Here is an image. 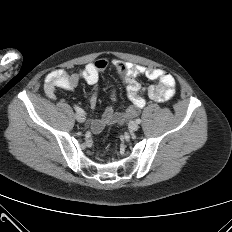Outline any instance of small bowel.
I'll return each instance as SVG.
<instances>
[{
  "label": "small bowel",
  "mask_w": 232,
  "mask_h": 232,
  "mask_svg": "<svg viewBox=\"0 0 232 232\" xmlns=\"http://www.w3.org/2000/svg\"><path fill=\"white\" fill-rule=\"evenodd\" d=\"M108 67H112L121 77L131 105L121 112L115 111L113 105L108 106L101 117L91 121V129L95 133L102 131L107 125L116 124L118 122L117 116L120 113L127 112V110L131 108L134 110L135 113L133 116H135L145 105V99L139 94L141 90V85L137 80L139 76H145L149 80L157 81V84L152 85L147 89V96L153 101L159 103L167 102L172 99L176 93L175 78L167 71L118 59L109 60L107 58H99L94 62L89 63L78 72H67L61 69L51 71L44 80V91L50 99L54 100L56 99L55 92L57 88L73 90L77 87L80 81H84L93 86L89 103L90 107L94 109L98 101L97 84L100 75ZM111 100L113 103L117 100V93L113 87L111 90Z\"/></svg>",
  "instance_id": "c3829d8e"
}]
</instances>
